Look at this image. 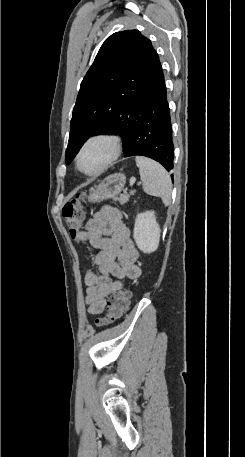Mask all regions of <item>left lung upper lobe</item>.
Masks as SVG:
<instances>
[{
    "mask_svg": "<svg viewBox=\"0 0 245 457\" xmlns=\"http://www.w3.org/2000/svg\"><path fill=\"white\" fill-rule=\"evenodd\" d=\"M160 67L157 52L138 30L112 34L84 77L73 109L66 164L91 136L109 131L147 98Z\"/></svg>",
    "mask_w": 245,
    "mask_h": 457,
    "instance_id": "left-lung-upper-lobe-1",
    "label": "left lung upper lobe"
}]
</instances>
